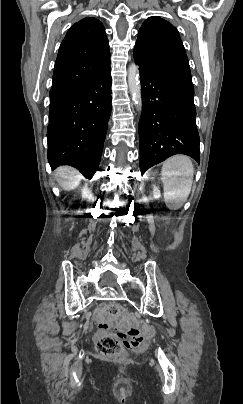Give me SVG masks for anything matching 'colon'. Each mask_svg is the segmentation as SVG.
<instances>
[{
	"label": "colon",
	"mask_w": 243,
	"mask_h": 404,
	"mask_svg": "<svg viewBox=\"0 0 243 404\" xmlns=\"http://www.w3.org/2000/svg\"><path fill=\"white\" fill-rule=\"evenodd\" d=\"M106 311L109 315L117 317L124 312L121 305L110 303ZM96 345L98 352L104 356H116L124 350L141 351L147 345V339L137 327H129L119 332L103 331L98 334Z\"/></svg>",
	"instance_id": "1"
}]
</instances>
